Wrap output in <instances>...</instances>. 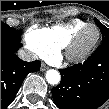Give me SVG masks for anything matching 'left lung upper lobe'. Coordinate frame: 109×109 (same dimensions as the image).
Returning a JSON list of instances; mask_svg holds the SVG:
<instances>
[{
    "label": "left lung upper lobe",
    "instance_id": "left-lung-upper-lobe-1",
    "mask_svg": "<svg viewBox=\"0 0 109 109\" xmlns=\"http://www.w3.org/2000/svg\"><path fill=\"white\" fill-rule=\"evenodd\" d=\"M94 21L101 30L103 43H108L109 42V29L106 26H104L98 19L94 18Z\"/></svg>",
    "mask_w": 109,
    "mask_h": 109
}]
</instances>
